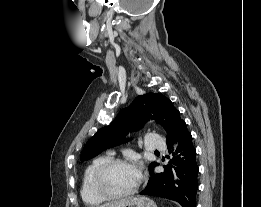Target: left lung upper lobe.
Masks as SVG:
<instances>
[{
  "instance_id": "obj_1",
  "label": "left lung upper lobe",
  "mask_w": 261,
  "mask_h": 207,
  "mask_svg": "<svg viewBox=\"0 0 261 207\" xmlns=\"http://www.w3.org/2000/svg\"><path fill=\"white\" fill-rule=\"evenodd\" d=\"M149 119L161 123L166 131L167 143L170 142L181 122L180 112L172 102L161 93H148L136 97L127 108L122 109L111 124L99 129L86 143L80 160H89L107 148L117 146L129 139L125 135L129 131H136ZM157 163H152L149 171Z\"/></svg>"
}]
</instances>
